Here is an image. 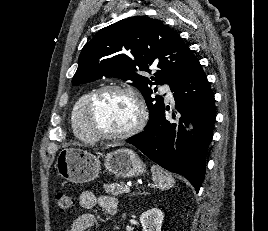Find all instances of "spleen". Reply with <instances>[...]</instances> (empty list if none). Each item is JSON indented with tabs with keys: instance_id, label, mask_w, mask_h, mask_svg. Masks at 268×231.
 <instances>
[{
	"instance_id": "3e777b00",
	"label": "spleen",
	"mask_w": 268,
	"mask_h": 231,
	"mask_svg": "<svg viewBox=\"0 0 268 231\" xmlns=\"http://www.w3.org/2000/svg\"><path fill=\"white\" fill-rule=\"evenodd\" d=\"M152 180L157 188L166 190L174 186L175 180L172 175L158 165L151 167Z\"/></svg>"
}]
</instances>
